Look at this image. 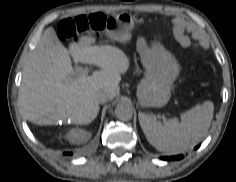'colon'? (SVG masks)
Masks as SVG:
<instances>
[{
    "instance_id": "colon-1",
    "label": "colon",
    "mask_w": 236,
    "mask_h": 182,
    "mask_svg": "<svg viewBox=\"0 0 236 182\" xmlns=\"http://www.w3.org/2000/svg\"><path fill=\"white\" fill-rule=\"evenodd\" d=\"M114 21L102 13L80 15L62 20L58 25V33L62 40H75L80 33L86 31L100 32L114 28Z\"/></svg>"
}]
</instances>
